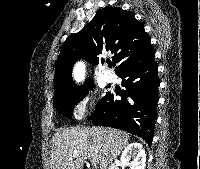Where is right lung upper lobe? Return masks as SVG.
Listing matches in <instances>:
<instances>
[{"label":"right lung upper lobe","mask_w":200,"mask_h":169,"mask_svg":"<svg viewBox=\"0 0 200 169\" xmlns=\"http://www.w3.org/2000/svg\"><path fill=\"white\" fill-rule=\"evenodd\" d=\"M102 52L114 54L112 60L118 63L116 74L155 55L149 35L133 13L116 7L104 8L80 32L65 40L55 67L54 97L82 87L73 82L71 71L74 63L86 57L96 65L99 63L97 55ZM101 63L104 64V58Z\"/></svg>","instance_id":"obj_1"}]
</instances>
